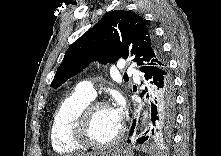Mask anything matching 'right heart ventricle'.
<instances>
[{
	"label": "right heart ventricle",
	"mask_w": 221,
	"mask_h": 156,
	"mask_svg": "<svg viewBox=\"0 0 221 156\" xmlns=\"http://www.w3.org/2000/svg\"><path fill=\"white\" fill-rule=\"evenodd\" d=\"M91 100L92 98L76 90L58 106L50 129V141L55 152L71 154L82 148L73 139L72 130L78 114Z\"/></svg>",
	"instance_id": "1"
}]
</instances>
